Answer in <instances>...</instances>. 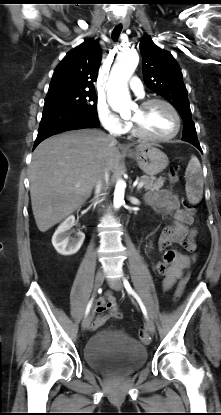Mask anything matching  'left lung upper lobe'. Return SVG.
Wrapping results in <instances>:
<instances>
[{"label":"left lung upper lobe","mask_w":221,"mask_h":415,"mask_svg":"<svg viewBox=\"0 0 221 415\" xmlns=\"http://www.w3.org/2000/svg\"><path fill=\"white\" fill-rule=\"evenodd\" d=\"M139 47L143 57V78L146 86L169 101L180 113L184 123L182 135L196 134L188 93L176 60L168 51L156 46L148 35H144Z\"/></svg>","instance_id":"obj_1"}]
</instances>
